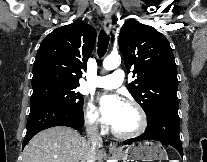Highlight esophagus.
Returning <instances> with one entry per match:
<instances>
[{"instance_id":"1","label":"esophagus","mask_w":207,"mask_h":162,"mask_svg":"<svg viewBox=\"0 0 207 162\" xmlns=\"http://www.w3.org/2000/svg\"><path fill=\"white\" fill-rule=\"evenodd\" d=\"M111 27H112L111 13L107 12L104 17V29L107 33H109L111 30ZM109 150L118 151L117 145L114 142H111L109 144Z\"/></svg>"}]
</instances>
